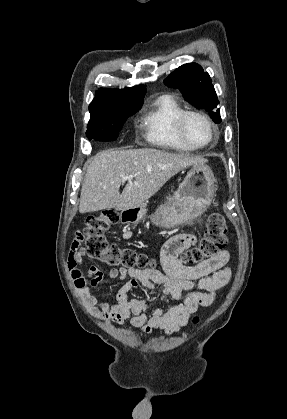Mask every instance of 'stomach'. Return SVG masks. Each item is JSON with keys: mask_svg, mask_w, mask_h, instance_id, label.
Listing matches in <instances>:
<instances>
[{"mask_svg": "<svg viewBox=\"0 0 287 419\" xmlns=\"http://www.w3.org/2000/svg\"><path fill=\"white\" fill-rule=\"evenodd\" d=\"M215 177L205 164L194 165L167 202L158 207L151 220L162 228H172L189 222L207 210L214 198ZM146 206L121 210L119 220L137 224L145 220Z\"/></svg>", "mask_w": 287, "mask_h": 419, "instance_id": "0dacf381", "label": "stomach"}]
</instances>
